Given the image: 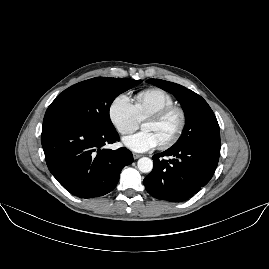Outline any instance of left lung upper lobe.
Wrapping results in <instances>:
<instances>
[{"label": "left lung upper lobe", "mask_w": 269, "mask_h": 269, "mask_svg": "<svg viewBox=\"0 0 269 269\" xmlns=\"http://www.w3.org/2000/svg\"><path fill=\"white\" fill-rule=\"evenodd\" d=\"M147 82L173 94L185 112L186 124L175 146L209 144L221 147L217 119L200 95L184 86L161 79H149Z\"/></svg>", "instance_id": "obj_1"}]
</instances>
